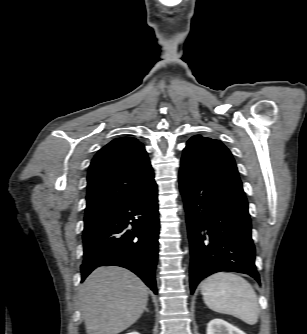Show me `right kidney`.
<instances>
[{
  "mask_svg": "<svg viewBox=\"0 0 307 334\" xmlns=\"http://www.w3.org/2000/svg\"><path fill=\"white\" fill-rule=\"evenodd\" d=\"M126 334H139L138 332H130V333H126Z\"/></svg>",
  "mask_w": 307,
  "mask_h": 334,
  "instance_id": "obj_1",
  "label": "right kidney"
}]
</instances>
